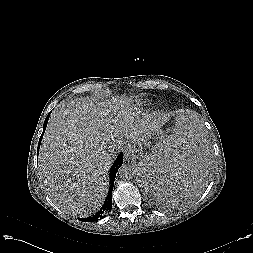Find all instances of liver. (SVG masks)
<instances>
[{"label": "liver", "mask_w": 253, "mask_h": 253, "mask_svg": "<svg viewBox=\"0 0 253 253\" xmlns=\"http://www.w3.org/2000/svg\"><path fill=\"white\" fill-rule=\"evenodd\" d=\"M131 98L112 102L67 99L53 110L39 154V171L52 202L74 216H88L103 204L108 171L125 139L142 144L168 120L132 112ZM120 150V149H119Z\"/></svg>", "instance_id": "1"}]
</instances>
